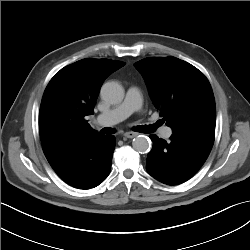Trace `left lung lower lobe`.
<instances>
[{
	"label": "left lung lower lobe",
	"mask_w": 250,
	"mask_h": 250,
	"mask_svg": "<svg viewBox=\"0 0 250 250\" xmlns=\"http://www.w3.org/2000/svg\"><path fill=\"white\" fill-rule=\"evenodd\" d=\"M152 150L146 159V170L155 179L178 185L190 179L206 161L214 135L173 133L170 141L150 135Z\"/></svg>",
	"instance_id": "0a47b994"
}]
</instances>
